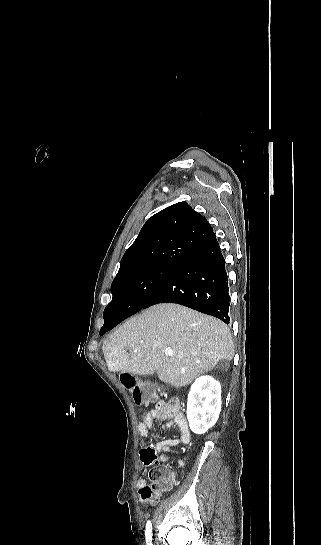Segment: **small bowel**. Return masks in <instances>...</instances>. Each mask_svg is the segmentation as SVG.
Segmentation results:
<instances>
[{"instance_id":"obj_1","label":"small bowel","mask_w":321,"mask_h":545,"mask_svg":"<svg viewBox=\"0 0 321 545\" xmlns=\"http://www.w3.org/2000/svg\"><path fill=\"white\" fill-rule=\"evenodd\" d=\"M155 422H160L164 429L176 427L178 434L174 437L164 439L157 443L156 452L159 454L156 455L153 459H148L143 452L140 454V459L143 466L151 468L158 461L163 464L170 462L169 453L171 448L180 444L187 443L190 439V430L188 424L180 414L179 410L174 404H158L155 408L144 412L141 416V420L138 423V433L141 437L145 438L148 434L150 428H152ZM175 465L179 468L184 466V461L182 459H177ZM154 471H159L168 478L173 484L177 482V477L175 473L168 468L167 466H161L155 469H151L149 472V477L151 478ZM146 486L145 479H138L137 487L141 489Z\"/></svg>"}]
</instances>
